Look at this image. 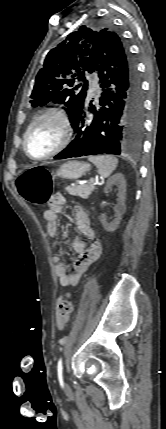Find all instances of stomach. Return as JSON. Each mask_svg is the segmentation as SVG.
Returning <instances> with one entry per match:
<instances>
[{
	"mask_svg": "<svg viewBox=\"0 0 166 429\" xmlns=\"http://www.w3.org/2000/svg\"><path fill=\"white\" fill-rule=\"evenodd\" d=\"M91 166L85 162L68 161L60 166L56 175L63 178L74 180L83 176L86 172L90 171Z\"/></svg>",
	"mask_w": 166,
	"mask_h": 429,
	"instance_id": "1",
	"label": "stomach"
}]
</instances>
